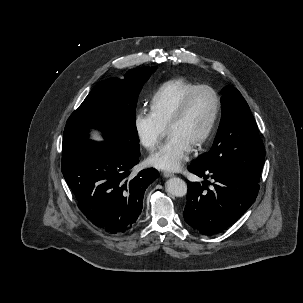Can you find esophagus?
Instances as JSON below:
<instances>
[{
	"label": "esophagus",
	"mask_w": 303,
	"mask_h": 303,
	"mask_svg": "<svg viewBox=\"0 0 303 303\" xmlns=\"http://www.w3.org/2000/svg\"><path fill=\"white\" fill-rule=\"evenodd\" d=\"M163 177H165V178H169V177H173L174 176V174L173 173H170V172H163Z\"/></svg>",
	"instance_id": "1"
}]
</instances>
